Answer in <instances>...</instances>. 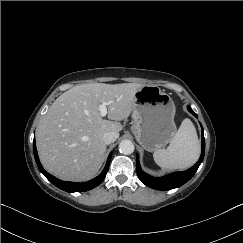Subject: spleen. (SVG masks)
<instances>
[{
  "instance_id": "obj_1",
  "label": "spleen",
  "mask_w": 243,
  "mask_h": 243,
  "mask_svg": "<svg viewBox=\"0 0 243 243\" xmlns=\"http://www.w3.org/2000/svg\"><path fill=\"white\" fill-rule=\"evenodd\" d=\"M200 143L192 121L184 119L167 148L154 152V161L164 169H186L199 158Z\"/></svg>"
}]
</instances>
